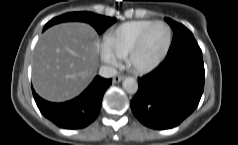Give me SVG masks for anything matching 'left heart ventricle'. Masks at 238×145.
<instances>
[{"mask_svg": "<svg viewBox=\"0 0 238 145\" xmlns=\"http://www.w3.org/2000/svg\"><path fill=\"white\" fill-rule=\"evenodd\" d=\"M167 40V28L163 25L154 26L147 34L141 49L134 56L133 62L137 65L149 64L159 56Z\"/></svg>", "mask_w": 238, "mask_h": 145, "instance_id": "left-heart-ventricle-1", "label": "left heart ventricle"}]
</instances>
